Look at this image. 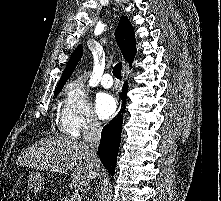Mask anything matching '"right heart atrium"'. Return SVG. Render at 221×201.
Masks as SVG:
<instances>
[{"instance_id":"obj_1","label":"right heart atrium","mask_w":221,"mask_h":201,"mask_svg":"<svg viewBox=\"0 0 221 201\" xmlns=\"http://www.w3.org/2000/svg\"><path fill=\"white\" fill-rule=\"evenodd\" d=\"M60 123L63 132L71 136L94 130L99 125L89 94L79 82H73L66 88Z\"/></svg>"}]
</instances>
